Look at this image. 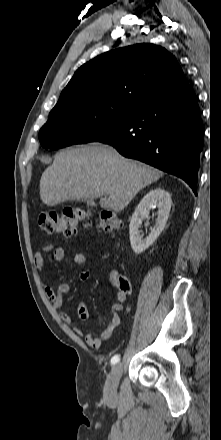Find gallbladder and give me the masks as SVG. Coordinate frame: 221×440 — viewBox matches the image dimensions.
<instances>
[{
    "instance_id": "bac80fb5",
    "label": "gallbladder",
    "mask_w": 221,
    "mask_h": 440,
    "mask_svg": "<svg viewBox=\"0 0 221 440\" xmlns=\"http://www.w3.org/2000/svg\"><path fill=\"white\" fill-rule=\"evenodd\" d=\"M86 203L87 205H95V202L92 199L87 200Z\"/></svg>"
}]
</instances>
